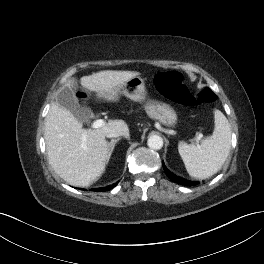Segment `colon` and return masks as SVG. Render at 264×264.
I'll return each instance as SVG.
<instances>
[{"instance_id":"colon-1","label":"colon","mask_w":264,"mask_h":264,"mask_svg":"<svg viewBox=\"0 0 264 264\" xmlns=\"http://www.w3.org/2000/svg\"><path fill=\"white\" fill-rule=\"evenodd\" d=\"M155 85L166 98L185 106L212 103L216 99V95L209 88H204L195 94L191 93L183 84L182 75L175 71L158 73L155 77Z\"/></svg>"}]
</instances>
